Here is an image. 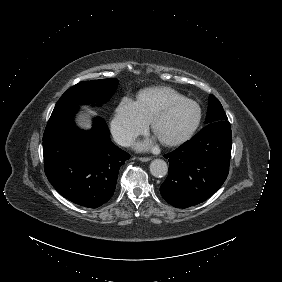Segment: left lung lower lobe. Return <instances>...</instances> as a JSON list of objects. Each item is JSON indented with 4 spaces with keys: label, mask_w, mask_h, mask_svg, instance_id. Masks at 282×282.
<instances>
[{
    "label": "left lung lower lobe",
    "mask_w": 282,
    "mask_h": 282,
    "mask_svg": "<svg viewBox=\"0 0 282 282\" xmlns=\"http://www.w3.org/2000/svg\"><path fill=\"white\" fill-rule=\"evenodd\" d=\"M231 141L229 122L215 121L165 155L170 168L160 187L162 197L174 207L187 208L212 196L227 178Z\"/></svg>",
    "instance_id": "1"
}]
</instances>
